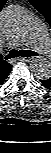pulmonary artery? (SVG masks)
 I'll use <instances>...</instances> for the list:
<instances>
[{
	"instance_id": "e3ab8cb5",
	"label": "pulmonary artery",
	"mask_w": 51,
	"mask_h": 153,
	"mask_svg": "<svg viewBox=\"0 0 51 153\" xmlns=\"http://www.w3.org/2000/svg\"><path fill=\"white\" fill-rule=\"evenodd\" d=\"M31 38L36 42V46L39 51L47 54L50 50V40L46 34V31L41 23H35L31 29Z\"/></svg>"
}]
</instances>
